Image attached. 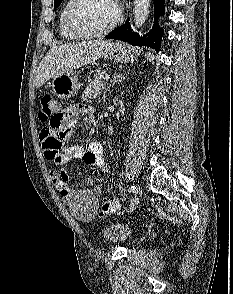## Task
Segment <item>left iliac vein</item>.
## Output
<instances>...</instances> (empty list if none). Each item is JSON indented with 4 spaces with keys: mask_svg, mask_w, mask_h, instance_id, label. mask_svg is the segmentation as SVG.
Listing matches in <instances>:
<instances>
[{
    "mask_svg": "<svg viewBox=\"0 0 233 294\" xmlns=\"http://www.w3.org/2000/svg\"><path fill=\"white\" fill-rule=\"evenodd\" d=\"M137 202H140V197H132L130 207H128V212H135V209H137Z\"/></svg>",
    "mask_w": 233,
    "mask_h": 294,
    "instance_id": "left-iliac-vein-1",
    "label": "left iliac vein"
}]
</instances>
